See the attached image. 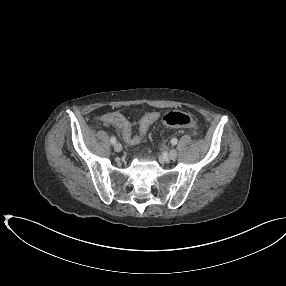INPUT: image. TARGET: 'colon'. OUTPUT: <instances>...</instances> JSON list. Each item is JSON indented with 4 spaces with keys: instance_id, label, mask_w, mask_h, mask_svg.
<instances>
[{
    "instance_id": "colon-1",
    "label": "colon",
    "mask_w": 286,
    "mask_h": 286,
    "mask_svg": "<svg viewBox=\"0 0 286 286\" xmlns=\"http://www.w3.org/2000/svg\"><path fill=\"white\" fill-rule=\"evenodd\" d=\"M162 121L166 126L174 128H192L195 126V120L191 115L179 111H172L165 114ZM147 130L148 122L144 121L139 125L138 133L135 135L136 143L142 141Z\"/></svg>"
}]
</instances>
